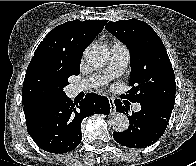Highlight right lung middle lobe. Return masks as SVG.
Returning <instances> with one entry per match:
<instances>
[{"instance_id": "right-lung-middle-lobe-1", "label": "right lung middle lobe", "mask_w": 196, "mask_h": 166, "mask_svg": "<svg viewBox=\"0 0 196 166\" xmlns=\"http://www.w3.org/2000/svg\"><path fill=\"white\" fill-rule=\"evenodd\" d=\"M69 74L46 65L36 64L27 68L22 91L23 105L65 96Z\"/></svg>"}]
</instances>
